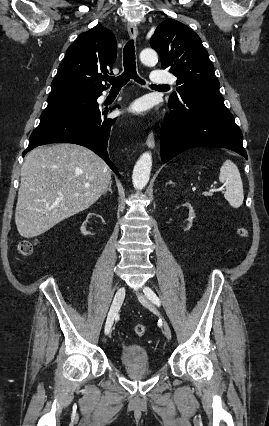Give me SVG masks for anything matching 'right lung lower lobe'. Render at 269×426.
Returning <instances> with one entry per match:
<instances>
[{"label": "right lung lower lobe", "mask_w": 269, "mask_h": 426, "mask_svg": "<svg viewBox=\"0 0 269 426\" xmlns=\"http://www.w3.org/2000/svg\"><path fill=\"white\" fill-rule=\"evenodd\" d=\"M108 112V109H101L97 104L70 115L40 122L32 132L23 156L39 145L73 143L87 147L98 154L116 174H119L107 152L111 127L116 121L107 118Z\"/></svg>", "instance_id": "98d812e1"}]
</instances>
